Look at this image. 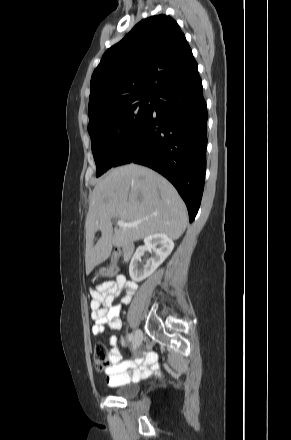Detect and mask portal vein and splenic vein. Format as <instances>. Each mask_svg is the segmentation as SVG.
Instances as JSON below:
<instances>
[{
    "label": "portal vein and splenic vein",
    "mask_w": 291,
    "mask_h": 440,
    "mask_svg": "<svg viewBox=\"0 0 291 440\" xmlns=\"http://www.w3.org/2000/svg\"><path fill=\"white\" fill-rule=\"evenodd\" d=\"M140 222H141V221H136V222H133V223H126V222H124V221H122V220H118V221H117V225H118L120 228L135 227V226H137Z\"/></svg>",
    "instance_id": "obj_1"
}]
</instances>
